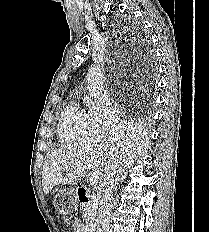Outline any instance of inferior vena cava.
Masks as SVG:
<instances>
[{
	"mask_svg": "<svg viewBox=\"0 0 209 232\" xmlns=\"http://www.w3.org/2000/svg\"><path fill=\"white\" fill-rule=\"evenodd\" d=\"M115 171L111 170L100 182L98 189L97 232H109L111 199L114 190Z\"/></svg>",
	"mask_w": 209,
	"mask_h": 232,
	"instance_id": "obj_1",
	"label": "inferior vena cava"
}]
</instances>
